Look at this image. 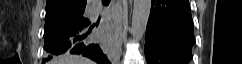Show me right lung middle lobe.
I'll list each match as a JSON object with an SVG mask.
<instances>
[{
  "label": "right lung middle lobe",
  "instance_id": "right-lung-middle-lobe-1",
  "mask_svg": "<svg viewBox=\"0 0 242 64\" xmlns=\"http://www.w3.org/2000/svg\"><path fill=\"white\" fill-rule=\"evenodd\" d=\"M85 6L75 10H61L46 13L44 40L54 33L69 29L73 26L86 25L90 20L83 16Z\"/></svg>",
  "mask_w": 242,
  "mask_h": 64
}]
</instances>
